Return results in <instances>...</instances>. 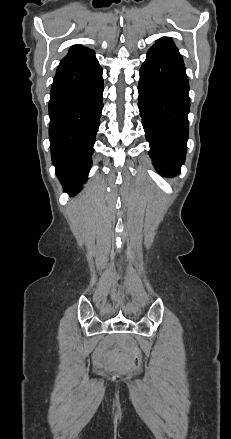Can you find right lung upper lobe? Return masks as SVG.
Returning <instances> with one entry per match:
<instances>
[{"instance_id": "obj_1", "label": "right lung upper lobe", "mask_w": 231, "mask_h": 439, "mask_svg": "<svg viewBox=\"0 0 231 439\" xmlns=\"http://www.w3.org/2000/svg\"><path fill=\"white\" fill-rule=\"evenodd\" d=\"M94 57V51L81 45H74L69 53L61 60L57 73L73 68Z\"/></svg>"}]
</instances>
